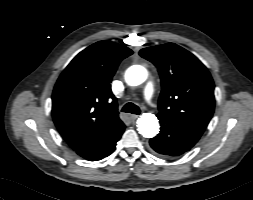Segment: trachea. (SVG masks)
Instances as JSON below:
<instances>
[{
	"label": "trachea",
	"instance_id": "1",
	"mask_svg": "<svg viewBox=\"0 0 253 200\" xmlns=\"http://www.w3.org/2000/svg\"><path fill=\"white\" fill-rule=\"evenodd\" d=\"M122 112L132 113V114H140V109L137 105L133 103H127L121 109Z\"/></svg>",
	"mask_w": 253,
	"mask_h": 200
}]
</instances>
